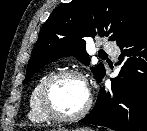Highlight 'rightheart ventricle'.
Here are the masks:
<instances>
[{
    "label": "right heart ventricle",
    "instance_id": "right-heart-ventricle-1",
    "mask_svg": "<svg viewBox=\"0 0 147 131\" xmlns=\"http://www.w3.org/2000/svg\"><path fill=\"white\" fill-rule=\"evenodd\" d=\"M55 72V70H50L46 72L44 75H42L36 81L30 92L28 100V118L33 123L43 124L50 121V119L42 112L39 106L38 94L43 82Z\"/></svg>",
    "mask_w": 147,
    "mask_h": 131
}]
</instances>
